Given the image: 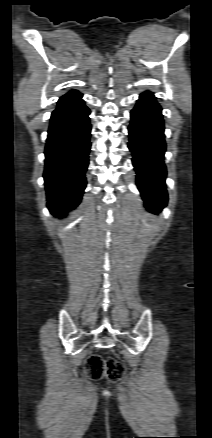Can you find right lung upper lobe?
<instances>
[{"mask_svg":"<svg viewBox=\"0 0 212 438\" xmlns=\"http://www.w3.org/2000/svg\"><path fill=\"white\" fill-rule=\"evenodd\" d=\"M78 93L79 92L73 90V91L68 92L66 95H64L62 97H67V96H71V95L78 94Z\"/></svg>","mask_w":212,"mask_h":438,"instance_id":"cb5924a9","label":"right lung upper lobe"}]
</instances>
